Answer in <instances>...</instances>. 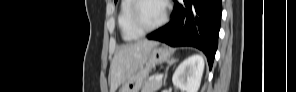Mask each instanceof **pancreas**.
<instances>
[{
	"mask_svg": "<svg viewBox=\"0 0 296 92\" xmlns=\"http://www.w3.org/2000/svg\"><path fill=\"white\" fill-rule=\"evenodd\" d=\"M155 78L146 80L141 88V92H156L158 89H160L162 86V81H156Z\"/></svg>",
	"mask_w": 296,
	"mask_h": 92,
	"instance_id": "cf45deb5",
	"label": "pancreas"
}]
</instances>
